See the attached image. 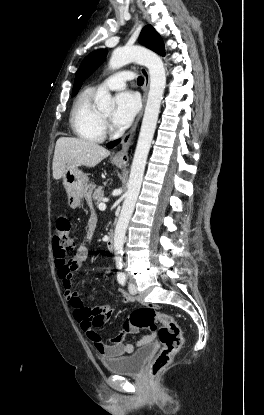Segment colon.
<instances>
[{
	"label": "colon",
	"instance_id": "colon-1",
	"mask_svg": "<svg viewBox=\"0 0 264 415\" xmlns=\"http://www.w3.org/2000/svg\"><path fill=\"white\" fill-rule=\"evenodd\" d=\"M71 230L70 219L67 216H60L56 221L54 233L55 249L60 255L68 254L73 249ZM103 320L104 316L98 313L93 317L92 322L94 326L100 327ZM126 323L143 329H155L158 323L161 324L159 338L163 347L150 366L151 377L157 378L161 370L170 363L172 357L182 346L183 338L177 321L155 306H144L133 311ZM98 338L99 335L93 336L94 340Z\"/></svg>",
	"mask_w": 264,
	"mask_h": 415
}]
</instances>
